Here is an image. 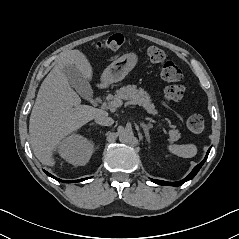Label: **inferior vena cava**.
<instances>
[{"label": "inferior vena cava", "mask_w": 239, "mask_h": 239, "mask_svg": "<svg viewBox=\"0 0 239 239\" xmlns=\"http://www.w3.org/2000/svg\"><path fill=\"white\" fill-rule=\"evenodd\" d=\"M95 122L102 126H111L113 125L114 120L104 111L95 117Z\"/></svg>", "instance_id": "602c4592"}]
</instances>
